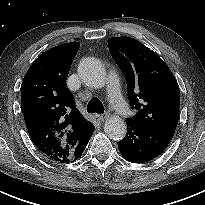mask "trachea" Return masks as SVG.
<instances>
[{
    "label": "trachea",
    "mask_w": 205,
    "mask_h": 205,
    "mask_svg": "<svg viewBox=\"0 0 205 205\" xmlns=\"http://www.w3.org/2000/svg\"><path fill=\"white\" fill-rule=\"evenodd\" d=\"M87 111L90 113H103L104 112V106L101 103V101L97 98H92L88 105H87Z\"/></svg>",
    "instance_id": "1"
}]
</instances>
